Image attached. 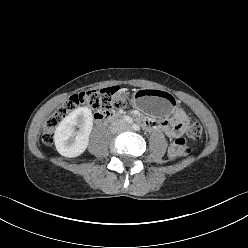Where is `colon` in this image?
I'll return each instance as SVG.
<instances>
[{
    "mask_svg": "<svg viewBox=\"0 0 248 248\" xmlns=\"http://www.w3.org/2000/svg\"><path fill=\"white\" fill-rule=\"evenodd\" d=\"M86 105L94 110L109 112L113 109H123L128 106V96L120 87H108L100 90H89L74 94L59 106L47 119L42 132V141L51 145L54 141V131L61 121L74 111L78 106ZM187 136L197 140L202 135V126L197 121H192L187 128ZM191 149L184 138L173 141L168 150L170 160L190 154Z\"/></svg>",
    "mask_w": 248,
    "mask_h": 248,
    "instance_id": "colon-1",
    "label": "colon"
}]
</instances>
